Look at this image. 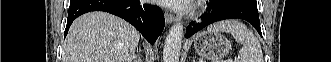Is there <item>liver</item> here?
<instances>
[{"label": "liver", "instance_id": "liver-1", "mask_svg": "<svg viewBox=\"0 0 331 62\" xmlns=\"http://www.w3.org/2000/svg\"><path fill=\"white\" fill-rule=\"evenodd\" d=\"M139 39V32L125 20L90 12L72 23L62 62H132Z\"/></svg>", "mask_w": 331, "mask_h": 62}]
</instances>
